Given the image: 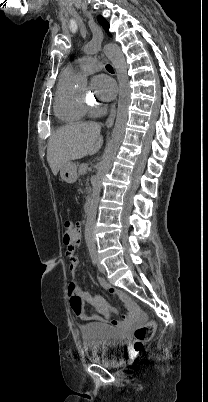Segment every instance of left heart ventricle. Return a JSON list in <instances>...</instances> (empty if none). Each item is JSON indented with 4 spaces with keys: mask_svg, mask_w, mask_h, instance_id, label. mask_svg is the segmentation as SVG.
<instances>
[{
    "mask_svg": "<svg viewBox=\"0 0 208 402\" xmlns=\"http://www.w3.org/2000/svg\"><path fill=\"white\" fill-rule=\"evenodd\" d=\"M86 85L79 91L81 93H85ZM98 99V98H97Z\"/></svg>",
    "mask_w": 208,
    "mask_h": 402,
    "instance_id": "left-heart-ventricle-1",
    "label": "left heart ventricle"
}]
</instances>
